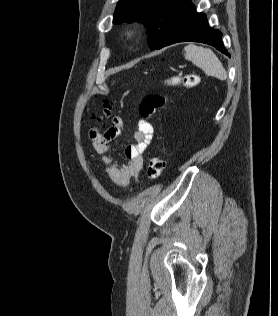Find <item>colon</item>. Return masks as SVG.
Returning a JSON list of instances; mask_svg holds the SVG:
<instances>
[{
	"instance_id": "colon-1",
	"label": "colon",
	"mask_w": 278,
	"mask_h": 316,
	"mask_svg": "<svg viewBox=\"0 0 278 316\" xmlns=\"http://www.w3.org/2000/svg\"><path fill=\"white\" fill-rule=\"evenodd\" d=\"M199 82V78L196 74H187L182 77L180 85L185 89H190L195 87ZM167 97L159 93H151L144 96L142 102L139 106L140 116L144 119H150L157 110L163 108L167 103ZM111 104L106 101L104 103L103 109L99 115L96 116L97 119L103 120L110 116ZM165 167V162L160 156H152L149 159L147 166V175L150 179H157L163 172Z\"/></svg>"
}]
</instances>
